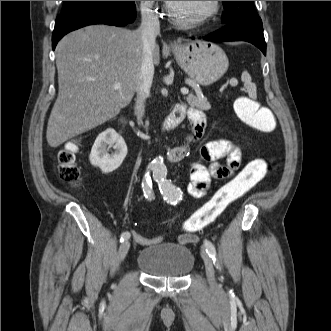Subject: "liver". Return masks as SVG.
Masks as SVG:
<instances>
[{"label": "liver", "mask_w": 331, "mask_h": 331, "mask_svg": "<svg viewBox=\"0 0 331 331\" xmlns=\"http://www.w3.org/2000/svg\"><path fill=\"white\" fill-rule=\"evenodd\" d=\"M143 44L139 31L92 25L71 32L56 47L58 97L46 139L56 148L118 115L141 82ZM155 43L153 63L159 64ZM120 83L119 89L114 84Z\"/></svg>", "instance_id": "obj_1"}]
</instances>
